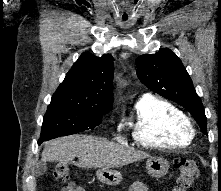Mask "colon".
Segmentation results:
<instances>
[{"mask_svg":"<svg viewBox=\"0 0 221 191\" xmlns=\"http://www.w3.org/2000/svg\"><path fill=\"white\" fill-rule=\"evenodd\" d=\"M174 167L179 173L174 191H186L198 176V166L193 160L177 158L174 160ZM70 176V168L65 164L57 165L52 174V178L63 185L61 191H84L83 188L70 182Z\"/></svg>","mask_w":221,"mask_h":191,"instance_id":"1","label":"colon"}]
</instances>
